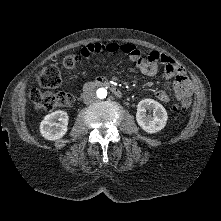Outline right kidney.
<instances>
[{
	"instance_id": "obj_1",
	"label": "right kidney",
	"mask_w": 221,
	"mask_h": 221,
	"mask_svg": "<svg viewBox=\"0 0 221 221\" xmlns=\"http://www.w3.org/2000/svg\"><path fill=\"white\" fill-rule=\"evenodd\" d=\"M68 114L65 111H55L45 116L40 124V133L47 140H57L67 133Z\"/></svg>"
}]
</instances>
